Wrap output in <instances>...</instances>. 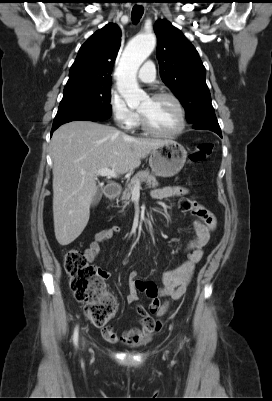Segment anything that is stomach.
<instances>
[{
	"label": "stomach",
	"mask_w": 272,
	"mask_h": 401,
	"mask_svg": "<svg viewBox=\"0 0 272 401\" xmlns=\"http://www.w3.org/2000/svg\"><path fill=\"white\" fill-rule=\"evenodd\" d=\"M187 158L185 148L173 140L155 148L149 157L152 172L159 177H172L180 172Z\"/></svg>",
	"instance_id": "0dacf381"
}]
</instances>
